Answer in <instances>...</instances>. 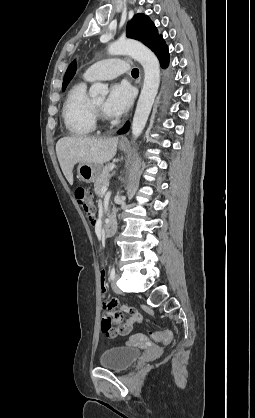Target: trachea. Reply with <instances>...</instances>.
<instances>
[{"instance_id":"3493384b","label":"trachea","mask_w":255,"mask_h":418,"mask_svg":"<svg viewBox=\"0 0 255 418\" xmlns=\"http://www.w3.org/2000/svg\"><path fill=\"white\" fill-rule=\"evenodd\" d=\"M132 75H139V70L137 68H134L131 72Z\"/></svg>"}]
</instances>
